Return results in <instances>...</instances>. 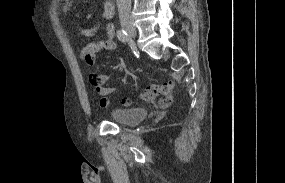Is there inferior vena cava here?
I'll return each mask as SVG.
<instances>
[{
  "label": "inferior vena cava",
  "instance_id": "602c4592",
  "mask_svg": "<svg viewBox=\"0 0 285 183\" xmlns=\"http://www.w3.org/2000/svg\"><path fill=\"white\" fill-rule=\"evenodd\" d=\"M119 17H129L131 11V0H117Z\"/></svg>",
  "mask_w": 285,
  "mask_h": 183
}]
</instances>
